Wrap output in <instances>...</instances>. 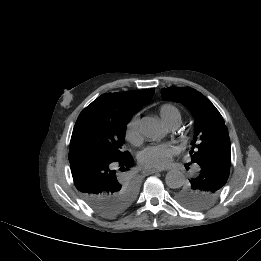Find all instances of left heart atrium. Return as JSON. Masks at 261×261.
Returning <instances> with one entry per match:
<instances>
[{"label":"left heart atrium","mask_w":261,"mask_h":261,"mask_svg":"<svg viewBox=\"0 0 261 261\" xmlns=\"http://www.w3.org/2000/svg\"><path fill=\"white\" fill-rule=\"evenodd\" d=\"M178 148L171 143H162L147 147L140 156L141 164L146 168L161 169L167 167Z\"/></svg>","instance_id":"obj_1"}]
</instances>
